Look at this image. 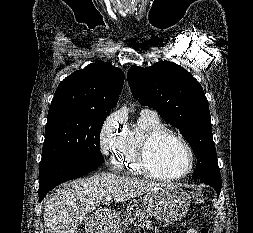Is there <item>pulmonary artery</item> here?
Returning a JSON list of instances; mask_svg holds the SVG:
<instances>
[{
  "label": "pulmonary artery",
  "mask_w": 253,
  "mask_h": 233,
  "mask_svg": "<svg viewBox=\"0 0 253 233\" xmlns=\"http://www.w3.org/2000/svg\"><path fill=\"white\" fill-rule=\"evenodd\" d=\"M142 113H153V114H156L154 111H152L150 109H143Z\"/></svg>",
  "instance_id": "e3ab8cb5"
}]
</instances>
